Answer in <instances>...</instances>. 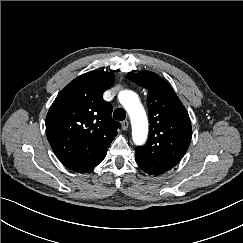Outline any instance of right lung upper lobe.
<instances>
[{"label": "right lung upper lobe", "instance_id": "obj_1", "mask_svg": "<svg viewBox=\"0 0 243 243\" xmlns=\"http://www.w3.org/2000/svg\"><path fill=\"white\" fill-rule=\"evenodd\" d=\"M112 72L78 76L56 97L46 117L47 139L60 162L72 171L96 167L117 134L120 123L102 94L114 83Z\"/></svg>", "mask_w": 243, "mask_h": 243}]
</instances>
